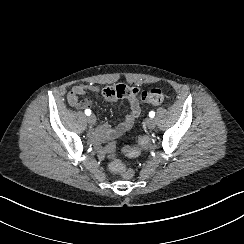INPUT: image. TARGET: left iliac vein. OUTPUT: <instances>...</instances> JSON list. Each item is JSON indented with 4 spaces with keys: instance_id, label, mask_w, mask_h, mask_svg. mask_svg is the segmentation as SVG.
Segmentation results:
<instances>
[{
    "instance_id": "left-iliac-vein-1",
    "label": "left iliac vein",
    "mask_w": 244,
    "mask_h": 244,
    "mask_svg": "<svg viewBox=\"0 0 244 244\" xmlns=\"http://www.w3.org/2000/svg\"><path fill=\"white\" fill-rule=\"evenodd\" d=\"M145 125L147 126L148 129H154L156 126V122L153 118H148L145 121Z\"/></svg>"
}]
</instances>
